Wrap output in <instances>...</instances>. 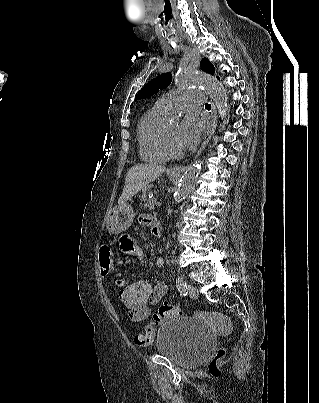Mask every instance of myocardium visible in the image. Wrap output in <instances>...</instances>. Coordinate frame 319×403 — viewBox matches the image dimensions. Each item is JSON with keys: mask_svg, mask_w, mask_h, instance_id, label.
Returning a JSON list of instances; mask_svg holds the SVG:
<instances>
[{"mask_svg": "<svg viewBox=\"0 0 319 403\" xmlns=\"http://www.w3.org/2000/svg\"><path fill=\"white\" fill-rule=\"evenodd\" d=\"M160 141H161V147L167 158L171 159H179L184 156L183 150H177L174 149L168 139L167 132H166V125L163 126L161 130V136H160Z\"/></svg>", "mask_w": 319, "mask_h": 403, "instance_id": "f54148a6", "label": "myocardium"}]
</instances>
